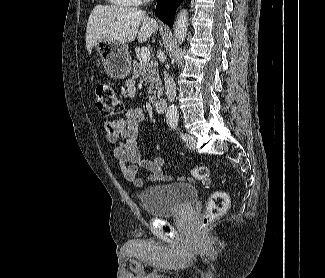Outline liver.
<instances>
[{
  "label": "liver",
  "instance_id": "liver-1",
  "mask_svg": "<svg viewBox=\"0 0 325 278\" xmlns=\"http://www.w3.org/2000/svg\"><path fill=\"white\" fill-rule=\"evenodd\" d=\"M158 28L157 22L135 7L97 5L92 10L86 28V47L91 53L98 40L120 43L145 42Z\"/></svg>",
  "mask_w": 325,
  "mask_h": 278
}]
</instances>
